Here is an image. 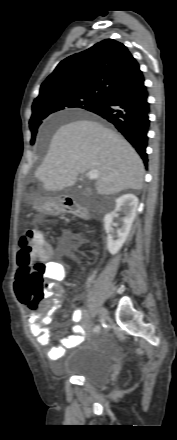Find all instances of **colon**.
I'll return each mask as SVG.
<instances>
[{"mask_svg": "<svg viewBox=\"0 0 177 440\" xmlns=\"http://www.w3.org/2000/svg\"><path fill=\"white\" fill-rule=\"evenodd\" d=\"M49 255L50 248L40 232L29 230L20 238L17 254L19 276L15 287L19 300L33 312L39 310L41 301L48 294L45 286L47 265L44 260Z\"/></svg>", "mask_w": 177, "mask_h": 440, "instance_id": "1", "label": "colon"}]
</instances>
